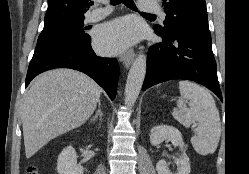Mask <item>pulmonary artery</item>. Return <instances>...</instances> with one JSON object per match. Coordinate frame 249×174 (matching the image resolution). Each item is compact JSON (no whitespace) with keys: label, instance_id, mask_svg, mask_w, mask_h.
Masks as SVG:
<instances>
[{"label":"pulmonary artery","instance_id":"1","mask_svg":"<svg viewBox=\"0 0 249 174\" xmlns=\"http://www.w3.org/2000/svg\"><path fill=\"white\" fill-rule=\"evenodd\" d=\"M104 7L93 10L87 17L89 22H97L110 14L111 8L107 4V0H100ZM140 9L146 13L158 14L162 19L165 18V13L161 10L160 5L155 0H139Z\"/></svg>","mask_w":249,"mask_h":174}]
</instances>
